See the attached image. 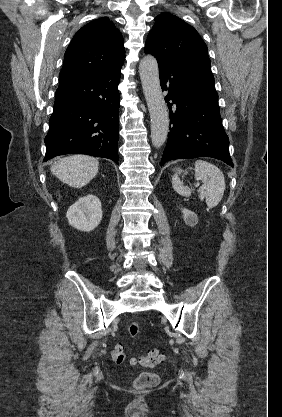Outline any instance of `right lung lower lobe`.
Here are the masks:
<instances>
[{
	"label": "right lung lower lobe",
	"mask_w": 282,
	"mask_h": 417,
	"mask_svg": "<svg viewBox=\"0 0 282 417\" xmlns=\"http://www.w3.org/2000/svg\"><path fill=\"white\" fill-rule=\"evenodd\" d=\"M120 69L58 87L44 162L62 154H87L118 163Z\"/></svg>",
	"instance_id": "98d812e1"
}]
</instances>
